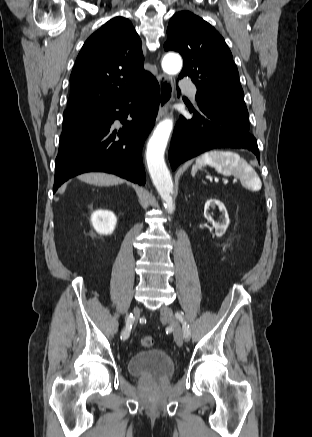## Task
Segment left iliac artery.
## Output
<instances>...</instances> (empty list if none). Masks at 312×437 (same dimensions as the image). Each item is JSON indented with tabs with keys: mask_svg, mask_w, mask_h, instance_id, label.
Listing matches in <instances>:
<instances>
[{
	"mask_svg": "<svg viewBox=\"0 0 312 437\" xmlns=\"http://www.w3.org/2000/svg\"><path fill=\"white\" fill-rule=\"evenodd\" d=\"M175 315H176L177 319H179L183 325L184 338H189V336H190L189 325L186 323V321H184L183 313L176 312Z\"/></svg>",
	"mask_w": 312,
	"mask_h": 437,
	"instance_id": "obj_1",
	"label": "left iliac artery"
}]
</instances>
